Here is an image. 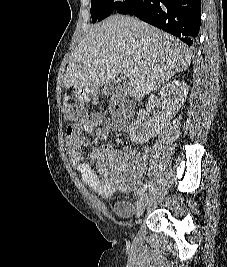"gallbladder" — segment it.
I'll use <instances>...</instances> for the list:
<instances>
[{
	"label": "gallbladder",
	"mask_w": 227,
	"mask_h": 267,
	"mask_svg": "<svg viewBox=\"0 0 227 267\" xmlns=\"http://www.w3.org/2000/svg\"><path fill=\"white\" fill-rule=\"evenodd\" d=\"M120 87V82L118 80L112 82L111 84H108L104 86L103 90H101L102 95H111L113 92Z\"/></svg>",
	"instance_id": "obj_1"
}]
</instances>
